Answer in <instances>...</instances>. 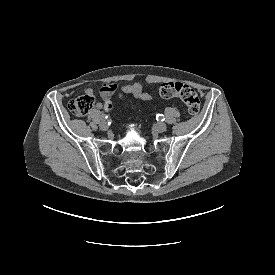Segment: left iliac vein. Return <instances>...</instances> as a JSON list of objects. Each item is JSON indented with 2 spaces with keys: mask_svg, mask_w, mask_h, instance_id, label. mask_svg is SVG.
<instances>
[{
  "mask_svg": "<svg viewBox=\"0 0 275 275\" xmlns=\"http://www.w3.org/2000/svg\"><path fill=\"white\" fill-rule=\"evenodd\" d=\"M155 128L159 132H164L167 129V125L163 122H159L156 124Z\"/></svg>",
  "mask_w": 275,
  "mask_h": 275,
  "instance_id": "4c4485c4",
  "label": "left iliac vein"
}]
</instances>
